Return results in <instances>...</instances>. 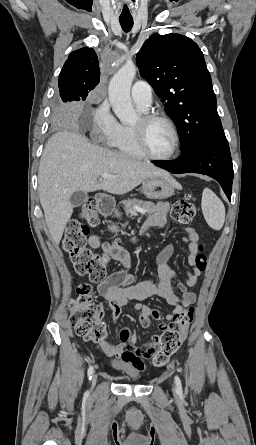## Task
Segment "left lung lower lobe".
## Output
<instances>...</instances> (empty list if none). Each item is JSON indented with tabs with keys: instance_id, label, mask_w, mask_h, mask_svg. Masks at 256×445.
<instances>
[{
	"instance_id": "1",
	"label": "left lung lower lobe",
	"mask_w": 256,
	"mask_h": 445,
	"mask_svg": "<svg viewBox=\"0 0 256 445\" xmlns=\"http://www.w3.org/2000/svg\"><path fill=\"white\" fill-rule=\"evenodd\" d=\"M152 163L175 174L194 172L208 175L220 183L231 200L233 165L226 137L198 142L173 162L154 160Z\"/></svg>"
}]
</instances>
